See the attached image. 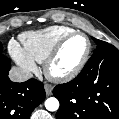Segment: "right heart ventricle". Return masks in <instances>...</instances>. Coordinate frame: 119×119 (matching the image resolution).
<instances>
[{
    "instance_id": "1",
    "label": "right heart ventricle",
    "mask_w": 119,
    "mask_h": 119,
    "mask_svg": "<svg viewBox=\"0 0 119 119\" xmlns=\"http://www.w3.org/2000/svg\"><path fill=\"white\" fill-rule=\"evenodd\" d=\"M74 29L64 25H54L41 30L26 32L21 41L28 55L36 62L43 63L56 43Z\"/></svg>"
}]
</instances>
